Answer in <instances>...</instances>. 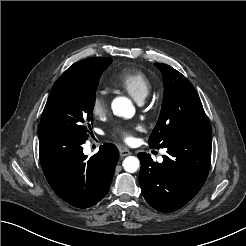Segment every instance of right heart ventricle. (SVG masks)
<instances>
[{
    "instance_id": "right-heart-ventricle-1",
    "label": "right heart ventricle",
    "mask_w": 246,
    "mask_h": 246,
    "mask_svg": "<svg viewBox=\"0 0 246 246\" xmlns=\"http://www.w3.org/2000/svg\"><path fill=\"white\" fill-rule=\"evenodd\" d=\"M113 84L125 90L139 102L144 100L152 89V83L148 76L137 69L119 72L114 77Z\"/></svg>"
}]
</instances>
